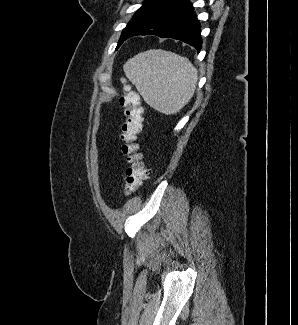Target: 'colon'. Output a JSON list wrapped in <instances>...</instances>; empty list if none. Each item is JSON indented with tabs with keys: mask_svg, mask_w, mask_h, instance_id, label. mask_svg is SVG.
<instances>
[{
	"mask_svg": "<svg viewBox=\"0 0 298 325\" xmlns=\"http://www.w3.org/2000/svg\"><path fill=\"white\" fill-rule=\"evenodd\" d=\"M119 103L124 116L120 132L123 141L121 149L127 160L123 192L125 195H131L141 187L148 176V168L136 141L143 126V107L139 95L129 87L125 88Z\"/></svg>",
	"mask_w": 298,
	"mask_h": 325,
	"instance_id": "colon-1",
	"label": "colon"
}]
</instances>
